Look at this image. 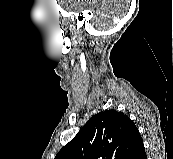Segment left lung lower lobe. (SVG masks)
I'll use <instances>...</instances> for the list:
<instances>
[{
  "label": "left lung lower lobe",
  "instance_id": "1",
  "mask_svg": "<svg viewBox=\"0 0 173 159\" xmlns=\"http://www.w3.org/2000/svg\"><path fill=\"white\" fill-rule=\"evenodd\" d=\"M128 159H147L143 142L132 152Z\"/></svg>",
  "mask_w": 173,
  "mask_h": 159
}]
</instances>
